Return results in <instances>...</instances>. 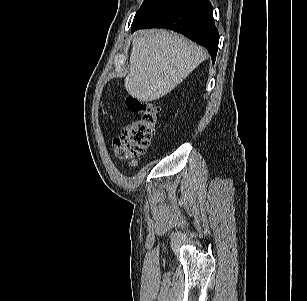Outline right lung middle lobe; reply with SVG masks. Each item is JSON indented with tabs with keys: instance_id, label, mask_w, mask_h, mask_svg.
<instances>
[{
	"instance_id": "1",
	"label": "right lung middle lobe",
	"mask_w": 307,
	"mask_h": 301,
	"mask_svg": "<svg viewBox=\"0 0 307 301\" xmlns=\"http://www.w3.org/2000/svg\"><path fill=\"white\" fill-rule=\"evenodd\" d=\"M167 0H144L143 4L139 8V10L136 12V15L133 19V22H136L137 20L143 18L159 6H161L163 3H165Z\"/></svg>"
}]
</instances>
